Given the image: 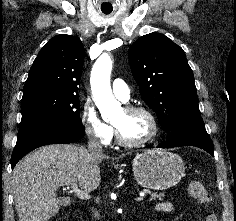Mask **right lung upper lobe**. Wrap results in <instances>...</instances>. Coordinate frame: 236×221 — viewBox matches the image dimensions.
<instances>
[{
  "label": "right lung upper lobe",
  "mask_w": 236,
  "mask_h": 221,
  "mask_svg": "<svg viewBox=\"0 0 236 221\" xmlns=\"http://www.w3.org/2000/svg\"><path fill=\"white\" fill-rule=\"evenodd\" d=\"M84 47L78 37L57 35L40 50L30 68L23 95L36 91L78 93Z\"/></svg>",
  "instance_id": "obj_1"
}]
</instances>
